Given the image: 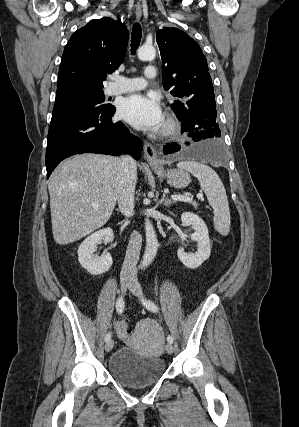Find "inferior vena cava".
<instances>
[{
  "label": "inferior vena cava",
  "instance_id": "inferior-vena-cava-1",
  "mask_svg": "<svg viewBox=\"0 0 299 427\" xmlns=\"http://www.w3.org/2000/svg\"><path fill=\"white\" fill-rule=\"evenodd\" d=\"M136 171V161L129 155L122 156L117 201L119 210L127 217L132 216L134 210V193L137 178ZM141 246L142 236L135 231L130 236L129 244L126 250L125 259L122 266L123 275H136V266L139 260Z\"/></svg>",
  "mask_w": 299,
  "mask_h": 427
}]
</instances>
